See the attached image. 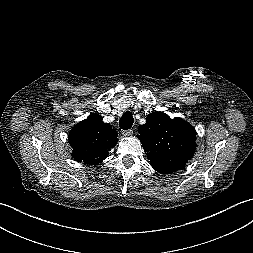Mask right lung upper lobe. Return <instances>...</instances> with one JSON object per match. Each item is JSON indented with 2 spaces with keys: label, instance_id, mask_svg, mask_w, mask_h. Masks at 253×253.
Segmentation results:
<instances>
[{
  "label": "right lung upper lobe",
  "instance_id": "obj_1",
  "mask_svg": "<svg viewBox=\"0 0 253 253\" xmlns=\"http://www.w3.org/2000/svg\"><path fill=\"white\" fill-rule=\"evenodd\" d=\"M68 140L74 160L98 165L116 145L117 132L109 123L103 122L101 115L92 114L71 129Z\"/></svg>",
  "mask_w": 253,
  "mask_h": 253
}]
</instances>
